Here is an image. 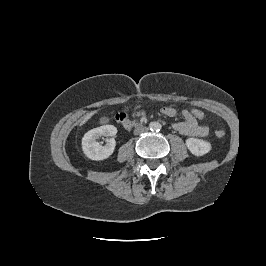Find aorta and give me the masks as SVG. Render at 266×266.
<instances>
[{
	"label": "aorta",
	"mask_w": 266,
	"mask_h": 266,
	"mask_svg": "<svg viewBox=\"0 0 266 266\" xmlns=\"http://www.w3.org/2000/svg\"><path fill=\"white\" fill-rule=\"evenodd\" d=\"M150 129L151 130H160L161 129V124L159 122H152L150 124Z\"/></svg>",
	"instance_id": "obj_1"
}]
</instances>
